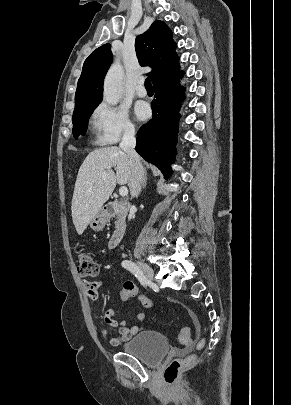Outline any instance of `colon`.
<instances>
[{
    "instance_id": "obj_1",
    "label": "colon",
    "mask_w": 291,
    "mask_h": 405,
    "mask_svg": "<svg viewBox=\"0 0 291 405\" xmlns=\"http://www.w3.org/2000/svg\"><path fill=\"white\" fill-rule=\"evenodd\" d=\"M78 273L83 277H97L100 273V267L94 260L93 256L88 252H82L78 255ZM133 297H138L142 305L146 308L154 309V304L146 297L142 296L137 287L131 282H126L121 291V298L129 300ZM179 341L184 345H189L193 342V335L190 328L185 327L179 334ZM203 342H199L198 347L201 348ZM195 356L189 355L184 358L174 359L164 370V380L167 384H174L180 374V371L193 364Z\"/></svg>"
}]
</instances>
